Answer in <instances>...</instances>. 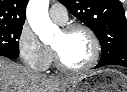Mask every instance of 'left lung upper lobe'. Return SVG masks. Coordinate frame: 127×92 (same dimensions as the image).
Here are the masks:
<instances>
[{
    "label": "left lung upper lobe",
    "mask_w": 127,
    "mask_h": 92,
    "mask_svg": "<svg viewBox=\"0 0 127 92\" xmlns=\"http://www.w3.org/2000/svg\"><path fill=\"white\" fill-rule=\"evenodd\" d=\"M97 36L102 56L127 47V19L119 0H59Z\"/></svg>",
    "instance_id": "left-lung-upper-lobe-1"
}]
</instances>
